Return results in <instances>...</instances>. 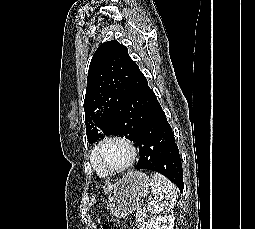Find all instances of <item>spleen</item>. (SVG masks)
Returning <instances> with one entry per match:
<instances>
[{
  "mask_svg": "<svg viewBox=\"0 0 255 229\" xmlns=\"http://www.w3.org/2000/svg\"><path fill=\"white\" fill-rule=\"evenodd\" d=\"M151 189L153 199L147 206L152 214H161L174 208L176 204L177 188L160 173H151Z\"/></svg>",
  "mask_w": 255,
  "mask_h": 229,
  "instance_id": "1",
  "label": "spleen"
}]
</instances>
